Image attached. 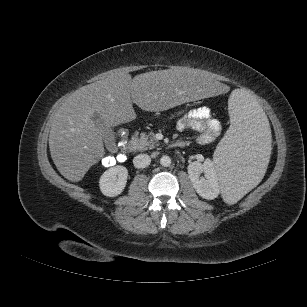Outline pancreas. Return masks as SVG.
I'll list each match as a JSON object with an SVG mask.
<instances>
[{"instance_id":"obj_1","label":"pancreas","mask_w":307,"mask_h":307,"mask_svg":"<svg viewBox=\"0 0 307 307\" xmlns=\"http://www.w3.org/2000/svg\"><path fill=\"white\" fill-rule=\"evenodd\" d=\"M131 145L133 150L145 151L148 149H153L159 144L157 143L153 132H142L139 137L137 135L132 137Z\"/></svg>"}]
</instances>
